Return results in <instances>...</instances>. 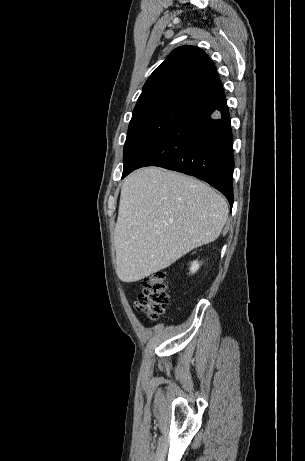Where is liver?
<instances>
[{
  "mask_svg": "<svg viewBox=\"0 0 305 461\" xmlns=\"http://www.w3.org/2000/svg\"><path fill=\"white\" fill-rule=\"evenodd\" d=\"M228 213L226 200L199 180L157 167L131 173L114 232L119 279L139 281L214 242Z\"/></svg>",
  "mask_w": 305,
  "mask_h": 461,
  "instance_id": "6515ba94",
  "label": "liver"
}]
</instances>
